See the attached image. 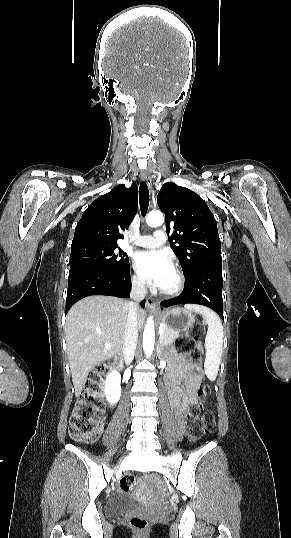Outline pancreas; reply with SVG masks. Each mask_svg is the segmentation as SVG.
Masks as SVG:
<instances>
[{
  "instance_id": "obj_1",
  "label": "pancreas",
  "mask_w": 291,
  "mask_h": 538,
  "mask_svg": "<svg viewBox=\"0 0 291 538\" xmlns=\"http://www.w3.org/2000/svg\"><path fill=\"white\" fill-rule=\"evenodd\" d=\"M178 336H179V332H175V331L165 328L164 332L160 334L159 341L163 345H170L175 341V339Z\"/></svg>"
}]
</instances>
